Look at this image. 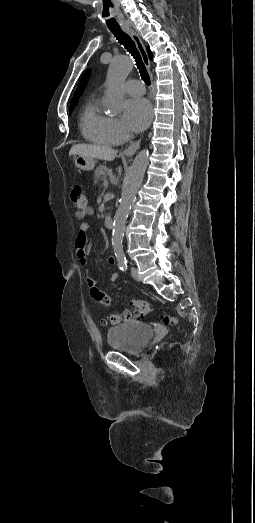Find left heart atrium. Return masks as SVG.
Wrapping results in <instances>:
<instances>
[{
    "mask_svg": "<svg viewBox=\"0 0 255 523\" xmlns=\"http://www.w3.org/2000/svg\"><path fill=\"white\" fill-rule=\"evenodd\" d=\"M152 117V107L150 102L139 97L138 100H129L125 104L124 118L128 127L132 130H141Z\"/></svg>",
    "mask_w": 255,
    "mask_h": 523,
    "instance_id": "left-heart-atrium-1",
    "label": "left heart atrium"
}]
</instances>
